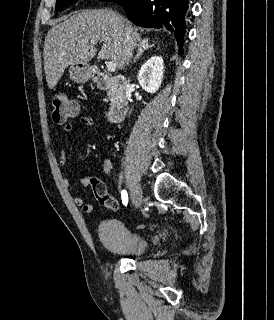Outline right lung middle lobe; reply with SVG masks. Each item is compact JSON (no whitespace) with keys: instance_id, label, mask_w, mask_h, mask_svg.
Instances as JSON below:
<instances>
[{"instance_id":"right-lung-middle-lobe-1","label":"right lung middle lobe","mask_w":274,"mask_h":320,"mask_svg":"<svg viewBox=\"0 0 274 320\" xmlns=\"http://www.w3.org/2000/svg\"><path fill=\"white\" fill-rule=\"evenodd\" d=\"M78 0H56V10H61L64 7L76 3ZM100 1H111V0H100Z\"/></svg>"}]
</instances>
